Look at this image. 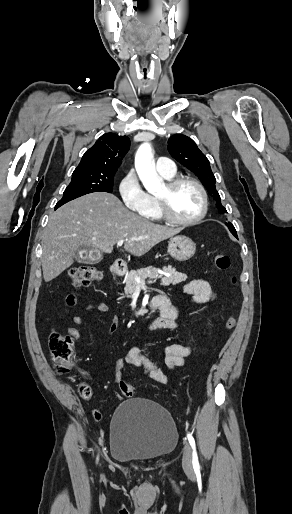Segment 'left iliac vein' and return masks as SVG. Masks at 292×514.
Segmentation results:
<instances>
[{
    "instance_id": "left-iliac-vein-1",
    "label": "left iliac vein",
    "mask_w": 292,
    "mask_h": 514,
    "mask_svg": "<svg viewBox=\"0 0 292 514\" xmlns=\"http://www.w3.org/2000/svg\"><path fill=\"white\" fill-rule=\"evenodd\" d=\"M182 464H183V468L186 471L192 470V467H193L192 450H191L190 444L187 441L184 442Z\"/></svg>"
}]
</instances>
